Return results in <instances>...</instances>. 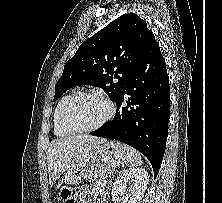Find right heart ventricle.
<instances>
[{
    "label": "right heart ventricle",
    "mask_w": 222,
    "mask_h": 203,
    "mask_svg": "<svg viewBox=\"0 0 222 203\" xmlns=\"http://www.w3.org/2000/svg\"><path fill=\"white\" fill-rule=\"evenodd\" d=\"M72 96V94H67L63 96L59 102L57 103L54 114H53V129H54V134L58 137H65L73 134L72 131L68 130L65 128L61 122V112L62 109L67 102V100Z\"/></svg>",
    "instance_id": "right-heart-ventricle-1"
}]
</instances>
